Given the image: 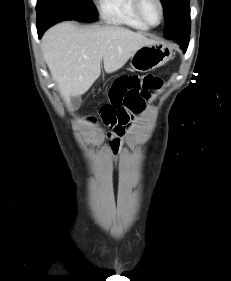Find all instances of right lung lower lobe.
<instances>
[{
	"label": "right lung lower lobe",
	"mask_w": 231,
	"mask_h": 281,
	"mask_svg": "<svg viewBox=\"0 0 231 281\" xmlns=\"http://www.w3.org/2000/svg\"><path fill=\"white\" fill-rule=\"evenodd\" d=\"M64 17H54L53 19H46L40 22H37V31L39 38H41L42 34L52 25L57 22L63 21Z\"/></svg>",
	"instance_id": "obj_1"
}]
</instances>
